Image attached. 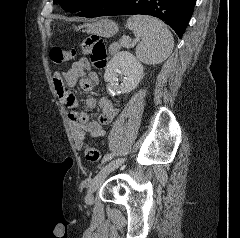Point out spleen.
Wrapping results in <instances>:
<instances>
[{
	"label": "spleen",
	"mask_w": 240,
	"mask_h": 238,
	"mask_svg": "<svg viewBox=\"0 0 240 238\" xmlns=\"http://www.w3.org/2000/svg\"><path fill=\"white\" fill-rule=\"evenodd\" d=\"M126 27L140 40L136 47V55L143 63L153 65L162 63L172 53L173 36L160 20L134 15L127 20Z\"/></svg>",
	"instance_id": "3e777b00"
}]
</instances>
